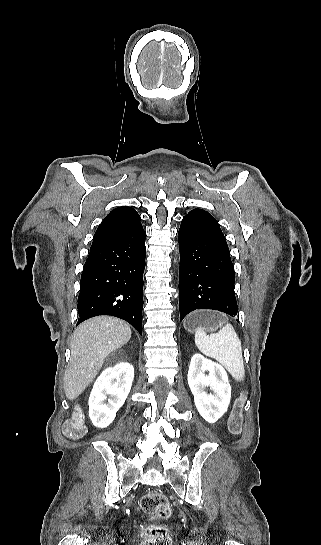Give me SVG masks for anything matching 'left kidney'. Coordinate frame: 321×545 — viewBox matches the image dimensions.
Instances as JSON below:
<instances>
[{"label": "left kidney", "mask_w": 321, "mask_h": 545, "mask_svg": "<svg viewBox=\"0 0 321 545\" xmlns=\"http://www.w3.org/2000/svg\"><path fill=\"white\" fill-rule=\"evenodd\" d=\"M205 371L209 375H205ZM187 379L199 415L207 423H216L226 413L231 399V387L225 369L196 353L191 359ZM206 387H210L212 395L206 393Z\"/></svg>", "instance_id": "1"}]
</instances>
